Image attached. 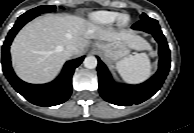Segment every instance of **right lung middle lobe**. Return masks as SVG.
Here are the masks:
<instances>
[{
    "instance_id": "obj_1",
    "label": "right lung middle lobe",
    "mask_w": 194,
    "mask_h": 133,
    "mask_svg": "<svg viewBox=\"0 0 194 133\" xmlns=\"http://www.w3.org/2000/svg\"><path fill=\"white\" fill-rule=\"evenodd\" d=\"M55 9H56L55 6H49V5L39 6V7H36L34 9L27 11L23 15L36 17V16H38L42 13H45V12H53V11H55Z\"/></svg>"
}]
</instances>
